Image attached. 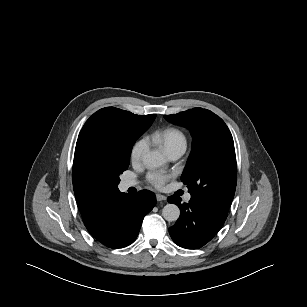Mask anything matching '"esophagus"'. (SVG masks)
<instances>
[{
  "instance_id": "1",
  "label": "esophagus",
  "mask_w": 307,
  "mask_h": 307,
  "mask_svg": "<svg viewBox=\"0 0 307 307\" xmlns=\"http://www.w3.org/2000/svg\"><path fill=\"white\" fill-rule=\"evenodd\" d=\"M156 199H157L158 202L165 201L166 200V196H164L162 194H157L156 195Z\"/></svg>"
}]
</instances>
